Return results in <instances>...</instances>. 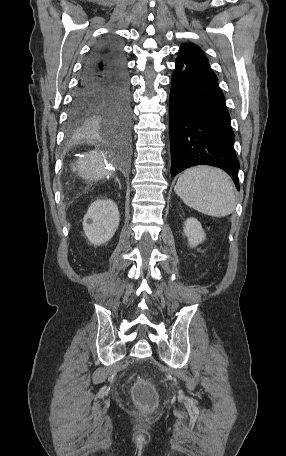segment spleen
<instances>
[{"label":"spleen","instance_id":"3e777b00","mask_svg":"<svg viewBox=\"0 0 286 456\" xmlns=\"http://www.w3.org/2000/svg\"><path fill=\"white\" fill-rule=\"evenodd\" d=\"M174 190L187 206L212 217H225L235 210L234 184L221 169H187L179 176Z\"/></svg>","mask_w":286,"mask_h":456}]
</instances>
